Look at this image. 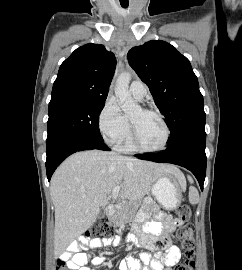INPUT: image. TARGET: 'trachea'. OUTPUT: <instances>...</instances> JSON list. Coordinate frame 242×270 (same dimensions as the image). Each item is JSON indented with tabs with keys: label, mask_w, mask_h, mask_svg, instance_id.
I'll return each instance as SVG.
<instances>
[{
	"label": "trachea",
	"mask_w": 242,
	"mask_h": 270,
	"mask_svg": "<svg viewBox=\"0 0 242 270\" xmlns=\"http://www.w3.org/2000/svg\"><path fill=\"white\" fill-rule=\"evenodd\" d=\"M123 8H127V6H122Z\"/></svg>",
	"instance_id": "trachea-1"
}]
</instances>
